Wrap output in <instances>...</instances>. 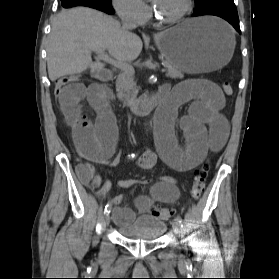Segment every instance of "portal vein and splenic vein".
<instances>
[{"label":"portal vein and splenic vein","instance_id":"obj_1","mask_svg":"<svg viewBox=\"0 0 279 279\" xmlns=\"http://www.w3.org/2000/svg\"><path fill=\"white\" fill-rule=\"evenodd\" d=\"M93 51L98 55V58L100 60H103V61H105L107 63H110L113 66L121 69L122 71L130 72V73L134 74V69H133L132 66L128 65L127 63H125V62H123L121 60H116V59L111 58L110 56H108L107 53H105L104 50L93 49ZM162 71H164V69Z\"/></svg>","mask_w":279,"mask_h":279}]
</instances>
